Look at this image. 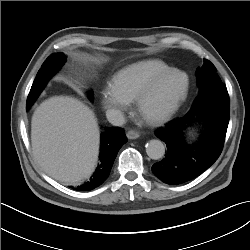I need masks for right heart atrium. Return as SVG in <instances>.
Masks as SVG:
<instances>
[{"mask_svg":"<svg viewBox=\"0 0 250 250\" xmlns=\"http://www.w3.org/2000/svg\"><path fill=\"white\" fill-rule=\"evenodd\" d=\"M101 103L115 119H122L124 113L130 108L131 100L118 92L111 84L101 89Z\"/></svg>","mask_w":250,"mask_h":250,"instance_id":"right-heart-atrium-1","label":"right heart atrium"}]
</instances>
